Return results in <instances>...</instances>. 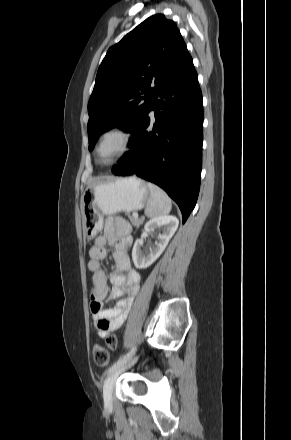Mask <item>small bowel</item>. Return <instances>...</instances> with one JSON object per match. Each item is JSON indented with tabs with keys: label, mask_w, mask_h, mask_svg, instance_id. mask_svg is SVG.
I'll return each instance as SVG.
<instances>
[{
	"label": "small bowel",
	"mask_w": 291,
	"mask_h": 440,
	"mask_svg": "<svg viewBox=\"0 0 291 440\" xmlns=\"http://www.w3.org/2000/svg\"><path fill=\"white\" fill-rule=\"evenodd\" d=\"M129 232V226L125 222L109 219L104 224L103 234L97 237L88 251L87 266L93 274L90 309L99 338L105 337L110 331L122 325L139 291L140 276L131 268L128 255V249L133 243ZM107 244L114 248V256L117 261V270L110 274L113 288L109 299H120L114 308L102 309V301L108 294L106 275L101 266V260L106 255L105 246ZM103 319L108 320L109 324L104 325Z\"/></svg>",
	"instance_id": "small-bowel-1"
}]
</instances>
